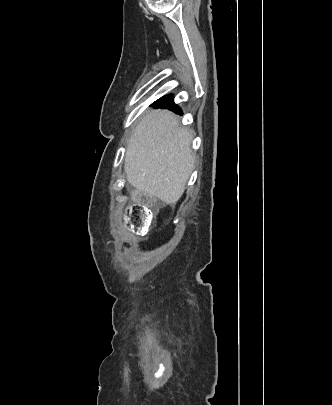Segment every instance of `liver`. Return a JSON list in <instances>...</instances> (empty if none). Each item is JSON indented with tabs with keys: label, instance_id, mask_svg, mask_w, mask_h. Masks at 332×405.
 <instances>
[{
	"label": "liver",
	"instance_id": "obj_1",
	"mask_svg": "<svg viewBox=\"0 0 332 405\" xmlns=\"http://www.w3.org/2000/svg\"><path fill=\"white\" fill-rule=\"evenodd\" d=\"M191 141L172 112L144 116L127 145L124 169L130 184L166 204L176 203L194 167Z\"/></svg>",
	"mask_w": 332,
	"mask_h": 405
}]
</instances>
